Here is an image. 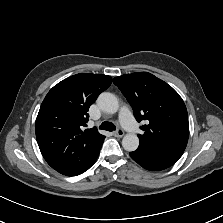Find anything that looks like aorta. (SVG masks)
Segmentation results:
<instances>
[{
    "label": "aorta",
    "instance_id": "762f6f07",
    "mask_svg": "<svg viewBox=\"0 0 223 223\" xmlns=\"http://www.w3.org/2000/svg\"><path fill=\"white\" fill-rule=\"evenodd\" d=\"M100 110L105 113L114 114L119 108L117 97L109 92H103L96 101ZM122 146L126 151H135L139 146V139L135 134H126L122 139Z\"/></svg>",
    "mask_w": 223,
    "mask_h": 223
}]
</instances>
